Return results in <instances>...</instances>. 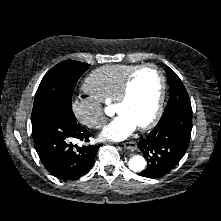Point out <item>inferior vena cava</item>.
<instances>
[{
    "instance_id": "1",
    "label": "inferior vena cava",
    "mask_w": 221,
    "mask_h": 221,
    "mask_svg": "<svg viewBox=\"0 0 221 221\" xmlns=\"http://www.w3.org/2000/svg\"><path fill=\"white\" fill-rule=\"evenodd\" d=\"M95 124L98 125L99 127H101L103 125V122L99 121V122H96Z\"/></svg>"
}]
</instances>
